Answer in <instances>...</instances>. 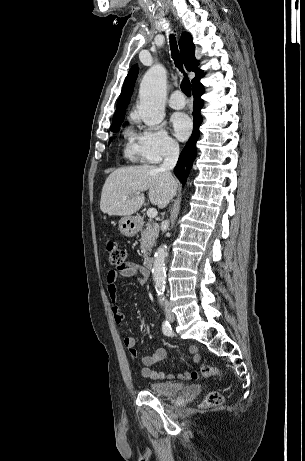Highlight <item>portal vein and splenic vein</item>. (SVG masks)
<instances>
[{
    "mask_svg": "<svg viewBox=\"0 0 305 461\" xmlns=\"http://www.w3.org/2000/svg\"><path fill=\"white\" fill-rule=\"evenodd\" d=\"M123 199H127V196H124ZM157 214H158V212H157V210L155 208H149L147 210V216L149 218H155L157 216Z\"/></svg>",
    "mask_w": 305,
    "mask_h": 461,
    "instance_id": "obj_1",
    "label": "portal vein and splenic vein"
}]
</instances>
